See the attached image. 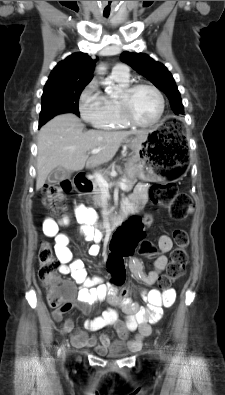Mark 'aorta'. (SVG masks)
Masks as SVG:
<instances>
[{"instance_id":"1","label":"aorta","mask_w":225,"mask_h":395,"mask_svg":"<svg viewBox=\"0 0 225 395\" xmlns=\"http://www.w3.org/2000/svg\"><path fill=\"white\" fill-rule=\"evenodd\" d=\"M100 70L104 69L103 67L99 68ZM107 93L110 94L111 96H113V92L111 90V87L107 88Z\"/></svg>"}]
</instances>
